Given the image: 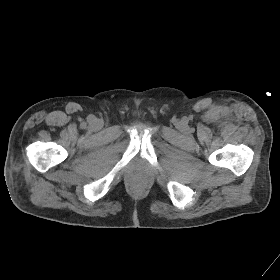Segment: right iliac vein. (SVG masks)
Returning <instances> with one entry per match:
<instances>
[{"instance_id":"1","label":"right iliac vein","mask_w":280,"mask_h":280,"mask_svg":"<svg viewBox=\"0 0 280 280\" xmlns=\"http://www.w3.org/2000/svg\"><path fill=\"white\" fill-rule=\"evenodd\" d=\"M102 126H103V122L99 119H94L90 125L91 129L93 130H99L102 128Z\"/></svg>"}]
</instances>
